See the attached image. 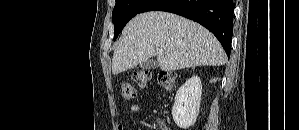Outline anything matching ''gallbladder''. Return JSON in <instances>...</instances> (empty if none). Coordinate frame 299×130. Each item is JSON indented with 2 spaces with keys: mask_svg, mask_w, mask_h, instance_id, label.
Masks as SVG:
<instances>
[{
  "mask_svg": "<svg viewBox=\"0 0 299 130\" xmlns=\"http://www.w3.org/2000/svg\"><path fill=\"white\" fill-rule=\"evenodd\" d=\"M139 67L142 68L143 70L155 69L158 67V64L156 61L149 59L140 63Z\"/></svg>",
  "mask_w": 299,
  "mask_h": 130,
  "instance_id": "bac80fb5",
  "label": "gallbladder"
}]
</instances>
